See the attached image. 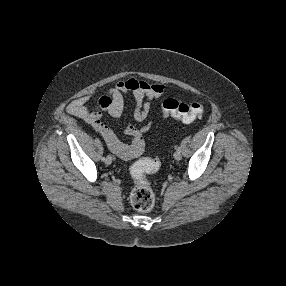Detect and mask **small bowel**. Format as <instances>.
<instances>
[{"label": "small bowel", "instance_id": "c3829d8e", "mask_svg": "<svg viewBox=\"0 0 286 286\" xmlns=\"http://www.w3.org/2000/svg\"><path fill=\"white\" fill-rule=\"evenodd\" d=\"M166 87L160 83L130 77L115 82L106 93L99 96L94 106H88L89 96L74 99L67 107L72 115L89 123L105 140L112 153L121 159L129 160L139 156L144 149V134L151 123L136 127L129 125L124 134L128 142L121 141L114 131L102 121V112H107L113 118H119L124 110V96L131 94L135 100L134 118L137 122H144L150 112V104L160 98Z\"/></svg>", "mask_w": 286, "mask_h": 286}]
</instances>
